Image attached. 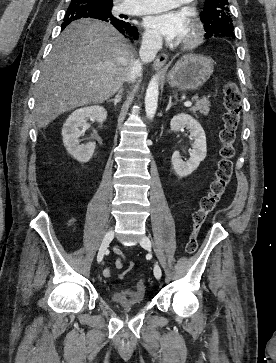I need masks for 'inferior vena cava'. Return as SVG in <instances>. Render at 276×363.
I'll list each match as a JSON object with an SVG mask.
<instances>
[{"label": "inferior vena cava", "instance_id": "obj_1", "mask_svg": "<svg viewBox=\"0 0 276 363\" xmlns=\"http://www.w3.org/2000/svg\"><path fill=\"white\" fill-rule=\"evenodd\" d=\"M162 48V37L155 34H145L139 50L140 59L134 60L130 68L129 81L133 82L141 75L142 64L154 60L157 52Z\"/></svg>", "mask_w": 276, "mask_h": 363}]
</instances>
